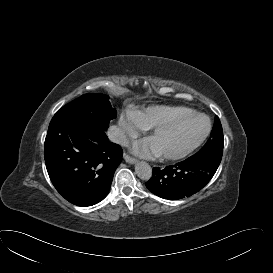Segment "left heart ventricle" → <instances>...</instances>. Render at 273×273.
<instances>
[{"label":"left heart ventricle","instance_id":"1","mask_svg":"<svg viewBox=\"0 0 273 273\" xmlns=\"http://www.w3.org/2000/svg\"><path fill=\"white\" fill-rule=\"evenodd\" d=\"M205 127V119L193 117L172 128L156 133L150 143L158 152H181L200 138Z\"/></svg>","mask_w":273,"mask_h":273}]
</instances>
